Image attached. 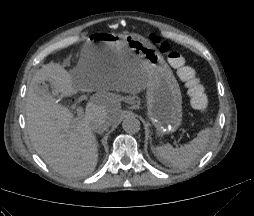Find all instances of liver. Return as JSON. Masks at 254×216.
Masks as SVG:
<instances>
[{
  "instance_id": "obj_1",
  "label": "liver",
  "mask_w": 254,
  "mask_h": 216,
  "mask_svg": "<svg viewBox=\"0 0 254 216\" xmlns=\"http://www.w3.org/2000/svg\"><path fill=\"white\" fill-rule=\"evenodd\" d=\"M88 44L77 66L68 72L54 61L43 65L29 86L26 99V126L35 151L56 172L69 177L92 173L98 162V143L90 127L93 120L104 117L111 125L121 115L123 97L133 96L147 87V73L139 62H118L94 70L86 57ZM48 81L54 95L71 96L77 91L94 92L81 118L59 103L40 84Z\"/></svg>"
}]
</instances>
